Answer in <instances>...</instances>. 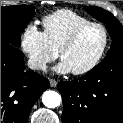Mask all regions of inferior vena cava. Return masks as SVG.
Segmentation results:
<instances>
[{
  "label": "inferior vena cava",
  "mask_w": 123,
  "mask_h": 123,
  "mask_svg": "<svg viewBox=\"0 0 123 123\" xmlns=\"http://www.w3.org/2000/svg\"><path fill=\"white\" fill-rule=\"evenodd\" d=\"M27 64L30 69L46 70V63L43 59L30 58Z\"/></svg>",
  "instance_id": "obj_1"
}]
</instances>
